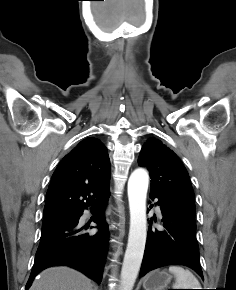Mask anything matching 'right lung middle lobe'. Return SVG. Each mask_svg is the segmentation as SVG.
I'll list each match as a JSON object with an SVG mask.
<instances>
[{"label": "right lung middle lobe", "mask_w": 236, "mask_h": 290, "mask_svg": "<svg viewBox=\"0 0 236 290\" xmlns=\"http://www.w3.org/2000/svg\"><path fill=\"white\" fill-rule=\"evenodd\" d=\"M74 217L75 215H63V216L44 218L43 223H42V231L48 230L52 227L71 221Z\"/></svg>", "instance_id": "dd1d6c3e"}]
</instances>
